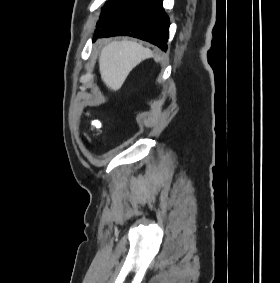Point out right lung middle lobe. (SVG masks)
Listing matches in <instances>:
<instances>
[{
  "label": "right lung middle lobe",
  "instance_id": "dd1d6c3e",
  "mask_svg": "<svg viewBox=\"0 0 280 283\" xmlns=\"http://www.w3.org/2000/svg\"><path fill=\"white\" fill-rule=\"evenodd\" d=\"M141 0H109L102 9L100 20L97 22V29L102 27L109 19L118 13L134 6Z\"/></svg>",
  "mask_w": 280,
  "mask_h": 283
}]
</instances>
